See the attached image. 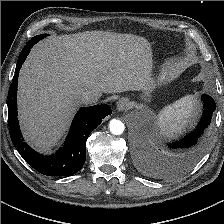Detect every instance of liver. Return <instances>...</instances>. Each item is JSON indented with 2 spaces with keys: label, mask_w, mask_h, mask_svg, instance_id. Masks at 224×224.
Segmentation results:
<instances>
[{
  "label": "liver",
  "mask_w": 224,
  "mask_h": 224,
  "mask_svg": "<svg viewBox=\"0 0 224 224\" xmlns=\"http://www.w3.org/2000/svg\"><path fill=\"white\" fill-rule=\"evenodd\" d=\"M152 62L149 42L132 34L86 31L39 42L19 74L25 139L39 150L50 148L65 133L81 94L139 91Z\"/></svg>",
  "instance_id": "6515ba94"
}]
</instances>
